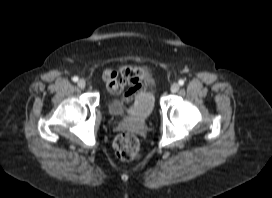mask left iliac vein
<instances>
[{
	"mask_svg": "<svg viewBox=\"0 0 272 198\" xmlns=\"http://www.w3.org/2000/svg\"><path fill=\"white\" fill-rule=\"evenodd\" d=\"M170 90L172 93H176L179 90V84L178 83H173L170 87Z\"/></svg>",
	"mask_w": 272,
	"mask_h": 198,
	"instance_id": "1",
	"label": "left iliac vein"
}]
</instances>
